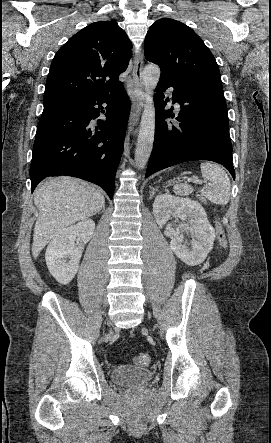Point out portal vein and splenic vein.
<instances>
[{"mask_svg":"<svg viewBox=\"0 0 271 443\" xmlns=\"http://www.w3.org/2000/svg\"><path fill=\"white\" fill-rule=\"evenodd\" d=\"M189 182H194V184H202L201 180H196V178H188Z\"/></svg>","mask_w":271,"mask_h":443,"instance_id":"obj_1","label":"portal vein and splenic vein"}]
</instances>
